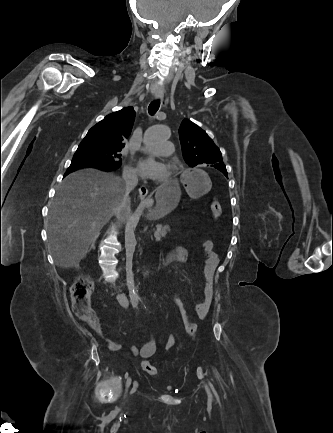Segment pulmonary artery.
I'll use <instances>...</instances> for the list:
<instances>
[{
	"label": "pulmonary artery",
	"instance_id": "1",
	"mask_svg": "<svg viewBox=\"0 0 333 433\" xmlns=\"http://www.w3.org/2000/svg\"><path fill=\"white\" fill-rule=\"evenodd\" d=\"M140 150L147 154H159L163 156H168L173 153L174 148L173 144L170 141L163 140L156 145L142 147Z\"/></svg>",
	"mask_w": 333,
	"mask_h": 433
}]
</instances>
